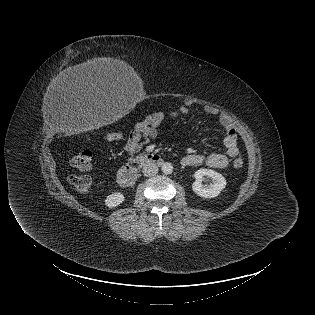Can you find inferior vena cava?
Masks as SVG:
<instances>
[{"label": "inferior vena cava", "mask_w": 315, "mask_h": 315, "mask_svg": "<svg viewBox=\"0 0 315 315\" xmlns=\"http://www.w3.org/2000/svg\"><path fill=\"white\" fill-rule=\"evenodd\" d=\"M143 174L145 176H154L158 173V167L154 164V163H146L144 166H143Z\"/></svg>", "instance_id": "602c4592"}]
</instances>
